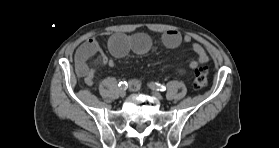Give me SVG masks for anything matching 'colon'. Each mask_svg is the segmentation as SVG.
<instances>
[{
    "label": "colon",
    "mask_w": 279,
    "mask_h": 148,
    "mask_svg": "<svg viewBox=\"0 0 279 148\" xmlns=\"http://www.w3.org/2000/svg\"><path fill=\"white\" fill-rule=\"evenodd\" d=\"M208 68L205 66L198 67L194 73L192 85L194 89L199 90L207 86L208 83Z\"/></svg>",
    "instance_id": "5ec220e1"
}]
</instances>
